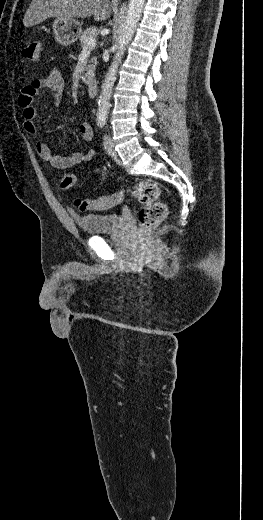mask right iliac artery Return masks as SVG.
Masks as SVG:
<instances>
[{"instance_id": "1", "label": "right iliac artery", "mask_w": 263, "mask_h": 520, "mask_svg": "<svg viewBox=\"0 0 263 520\" xmlns=\"http://www.w3.org/2000/svg\"><path fill=\"white\" fill-rule=\"evenodd\" d=\"M97 124H98V127H99V128H102L103 125H104V122H103V121H99Z\"/></svg>"}]
</instances>
